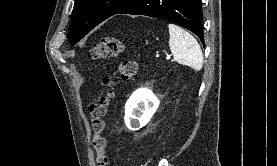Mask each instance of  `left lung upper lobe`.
Returning a JSON list of instances; mask_svg holds the SVG:
<instances>
[{"label":"left lung upper lobe","mask_w":277,"mask_h":166,"mask_svg":"<svg viewBox=\"0 0 277 166\" xmlns=\"http://www.w3.org/2000/svg\"><path fill=\"white\" fill-rule=\"evenodd\" d=\"M133 0H75L68 40L72 45Z\"/></svg>","instance_id":"obj_1"}]
</instances>
